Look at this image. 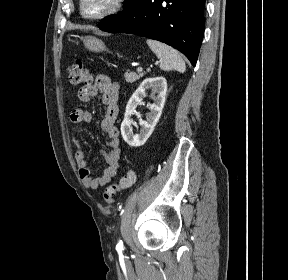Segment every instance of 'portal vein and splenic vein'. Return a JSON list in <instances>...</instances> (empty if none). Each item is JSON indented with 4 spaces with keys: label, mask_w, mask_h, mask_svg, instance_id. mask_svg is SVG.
<instances>
[{
    "label": "portal vein and splenic vein",
    "mask_w": 288,
    "mask_h": 280,
    "mask_svg": "<svg viewBox=\"0 0 288 280\" xmlns=\"http://www.w3.org/2000/svg\"><path fill=\"white\" fill-rule=\"evenodd\" d=\"M142 70H143L142 67H138V68H137V71H138V72H141Z\"/></svg>",
    "instance_id": "portal-vein-and-splenic-vein-1"
}]
</instances>
